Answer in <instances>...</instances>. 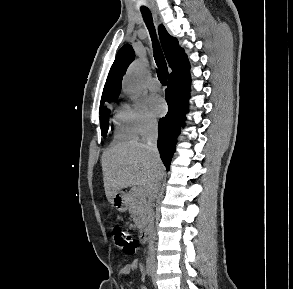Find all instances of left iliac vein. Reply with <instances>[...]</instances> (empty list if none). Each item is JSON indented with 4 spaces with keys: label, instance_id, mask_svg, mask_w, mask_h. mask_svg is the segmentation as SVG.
Wrapping results in <instances>:
<instances>
[{
    "label": "left iliac vein",
    "instance_id": "obj_1",
    "mask_svg": "<svg viewBox=\"0 0 293 289\" xmlns=\"http://www.w3.org/2000/svg\"><path fill=\"white\" fill-rule=\"evenodd\" d=\"M155 269H156V262L152 261V282H153V284H155V282H156Z\"/></svg>",
    "mask_w": 293,
    "mask_h": 289
}]
</instances>
